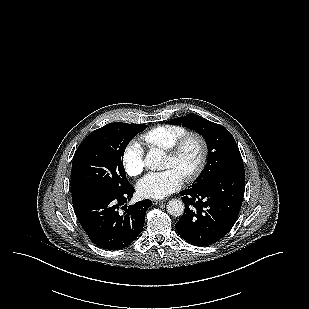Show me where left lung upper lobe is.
I'll list each match as a JSON object with an SVG mask.
<instances>
[{
  "label": "left lung upper lobe",
  "instance_id": "1",
  "mask_svg": "<svg viewBox=\"0 0 309 309\" xmlns=\"http://www.w3.org/2000/svg\"><path fill=\"white\" fill-rule=\"evenodd\" d=\"M171 124H182L192 128L206 140L208 161L192 186L202 183L223 171L244 168L239 148L231 133L223 126L196 114L175 118L171 121Z\"/></svg>",
  "mask_w": 309,
  "mask_h": 309
}]
</instances>
